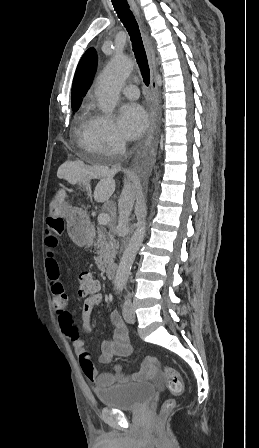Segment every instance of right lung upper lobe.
<instances>
[{"instance_id": "obj_1", "label": "right lung upper lobe", "mask_w": 259, "mask_h": 448, "mask_svg": "<svg viewBox=\"0 0 259 448\" xmlns=\"http://www.w3.org/2000/svg\"><path fill=\"white\" fill-rule=\"evenodd\" d=\"M97 69V54L94 48H89L77 66L72 84V109L79 108L82 98L92 84Z\"/></svg>"}]
</instances>
